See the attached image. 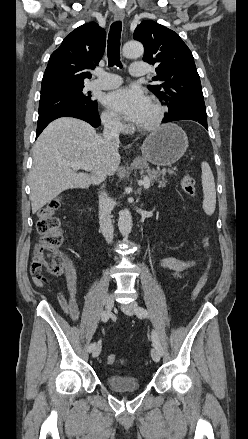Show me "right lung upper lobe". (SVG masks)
<instances>
[{
	"mask_svg": "<svg viewBox=\"0 0 248 439\" xmlns=\"http://www.w3.org/2000/svg\"><path fill=\"white\" fill-rule=\"evenodd\" d=\"M106 32L95 22L79 26L62 41L49 58L41 95L84 86L103 56Z\"/></svg>",
	"mask_w": 248,
	"mask_h": 439,
	"instance_id": "obj_1",
	"label": "right lung upper lobe"
}]
</instances>
